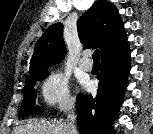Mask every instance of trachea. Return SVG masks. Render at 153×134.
<instances>
[{"instance_id":"1","label":"trachea","mask_w":153,"mask_h":134,"mask_svg":"<svg viewBox=\"0 0 153 134\" xmlns=\"http://www.w3.org/2000/svg\"><path fill=\"white\" fill-rule=\"evenodd\" d=\"M93 60L95 62L100 61V51L98 49H96L92 55Z\"/></svg>"}]
</instances>
